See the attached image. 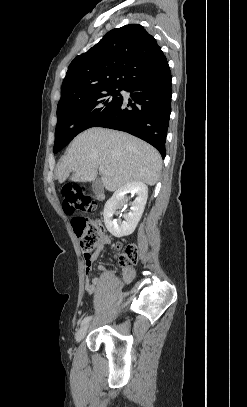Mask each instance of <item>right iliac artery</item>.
Segmentation results:
<instances>
[{"label": "right iliac artery", "mask_w": 247, "mask_h": 407, "mask_svg": "<svg viewBox=\"0 0 247 407\" xmlns=\"http://www.w3.org/2000/svg\"><path fill=\"white\" fill-rule=\"evenodd\" d=\"M91 319H92V316H87V317H85V318L82 320L81 325L87 324Z\"/></svg>", "instance_id": "1"}]
</instances>
